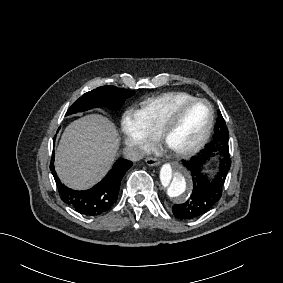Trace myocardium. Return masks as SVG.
Masks as SVG:
<instances>
[{"label":"myocardium","mask_w":283,"mask_h":283,"mask_svg":"<svg viewBox=\"0 0 283 283\" xmlns=\"http://www.w3.org/2000/svg\"><path fill=\"white\" fill-rule=\"evenodd\" d=\"M170 101L166 100L163 105H162V109L158 115L157 118V122H158V129L156 132V137L158 139V142L160 143V145L169 153H171L172 155H174L176 158L179 159H186L188 157H191L193 155H195L197 152H199L208 142L213 127H214V123H215V110L213 105L204 98H193L190 100H186V101H181V102H176L174 103L175 107L177 109H183L186 108L192 104H196V103H204L207 105L208 109H209V121L207 123V126L205 128V130L203 131L202 135L200 136V138L196 141V143L194 145H192L191 147H189L188 149L179 151V152H173L171 150H169L167 148L166 145V140H167V132H166V128H165V123H166V117H165V109L168 105Z\"/></svg>","instance_id":"myocardium-1"}]
</instances>
